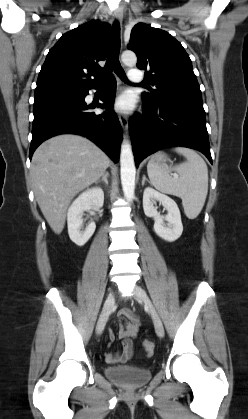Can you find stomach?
I'll return each mask as SVG.
<instances>
[{
    "instance_id": "0dacf381",
    "label": "stomach",
    "mask_w": 248,
    "mask_h": 419,
    "mask_svg": "<svg viewBox=\"0 0 248 419\" xmlns=\"http://www.w3.org/2000/svg\"><path fill=\"white\" fill-rule=\"evenodd\" d=\"M153 159H154L155 163L160 165V166H165L166 162L168 160L166 154L163 153V152H158V153L154 154Z\"/></svg>"
}]
</instances>
